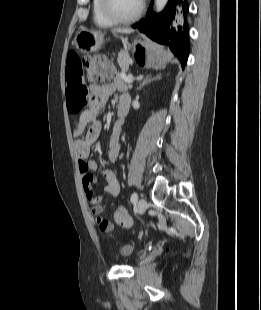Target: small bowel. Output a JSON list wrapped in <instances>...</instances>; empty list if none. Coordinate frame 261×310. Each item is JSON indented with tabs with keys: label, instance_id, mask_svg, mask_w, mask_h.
<instances>
[{
	"label": "small bowel",
	"instance_id": "small-bowel-1",
	"mask_svg": "<svg viewBox=\"0 0 261 310\" xmlns=\"http://www.w3.org/2000/svg\"><path fill=\"white\" fill-rule=\"evenodd\" d=\"M65 81L68 109L73 115H77L72 125V135L76 139L75 152L78 159V170L86 196L91 203V212L95 216L96 222L100 224L107 220L101 217L103 206L98 203V200L94 199L93 184L96 182V178L93 172L99 169V164L90 159L91 149L101 131L100 122L97 118L98 113L103 108L107 98L116 89L124 88V85L120 79L116 78L113 82L88 88L83 81L81 61L73 52L68 54ZM88 94L90 95V104L86 109L81 110ZM122 126V120H117L114 123L107 148L109 162H115L118 157ZM102 176L105 182V192L111 197H117L120 194L121 187L115 173L110 169H104ZM109 223L112 230L113 225L111 222Z\"/></svg>",
	"mask_w": 261,
	"mask_h": 310
}]
</instances>
